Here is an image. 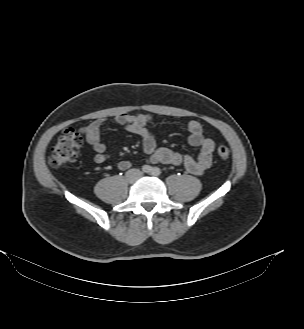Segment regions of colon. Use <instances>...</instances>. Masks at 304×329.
Wrapping results in <instances>:
<instances>
[{
  "mask_svg": "<svg viewBox=\"0 0 304 329\" xmlns=\"http://www.w3.org/2000/svg\"><path fill=\"white\" fill-rule=\"evenodd\" d=\"M81 143L82 136L79 132L74 129L65 130L52 149L48 159L50 166L59 168L74 162L77 159ZM217 155L225 160L229 158L230 150L227 146L221 145L217 149Z\"/></svg>",
  "mask_w": 304,
  "mask_h": 329,
  "instance_id": "1",
  "label": "colon"
}]
</instances>
